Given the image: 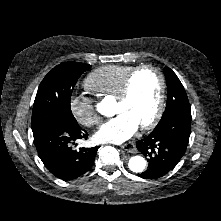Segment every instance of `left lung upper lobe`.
<instances>
[{
	"instance_id": "left-lung-upper-lobe-1",
	"label": "left lung upper lobe",
	"mask_w": 221,
	"mask_h": 221,
	"mask_svg": "<svg viewBox=\"0 0 221 221\" xmlns=\"http://www.w3.org/2000/svg\"><path fill=\"white\" fill-rule=\"evenodd\" d=\"M164 74L166 77L168 98L165 111L160 121L176 112L191 111L184 87L176 74L169 68H164Z\"/></svg>"
}]
</instances>
